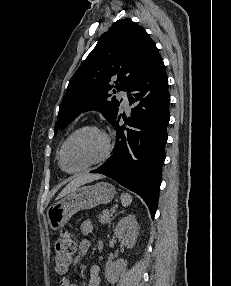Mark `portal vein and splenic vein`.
<instances>
[{
    "mask_svg": "<svg viewBox=\"0 0 231 286\" xmlns=\"http://www.w3.org/2000/svg\"><path fill=\"white\" fill-rule=\"evenodd\" d=\"M111 211H112V212H115V207H113V208L111 209Z\"/></svg>",
    "mask_w": 231,
    "mask_h": 286,
    "instance_id": "1",
    "label": "portal vein and splenic vein"
}]
</instances>
